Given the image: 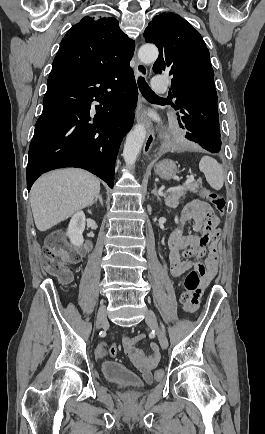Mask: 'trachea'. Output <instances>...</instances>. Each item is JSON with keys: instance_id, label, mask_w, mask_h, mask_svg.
Listing matches in <instances>:
<instances>
[{"instance_id": "1", "label": "trachea", "mask_w": 265, "mask_h": 434, "mask_svg": "<svg viewBox=\"0 0 265 434\" xmlns=\"http://www.w3.org/2000/svg\"><path fill=\"white\" fill-rule=\"evenodd\" d=\"M138 86H139V90L141 91V93L144 96H151L153 98L156 99H160V100H168V99H162L161 97H158L149 87V85L145 82V79L142 77H139L138 79Z\"/></svg>"}]
</instances>
